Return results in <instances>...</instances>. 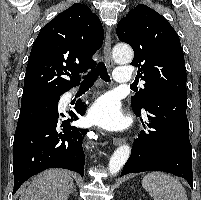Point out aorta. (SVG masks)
Masks as SVG:
<instances>
[{
	"label": "aorta",
	"mask_w": 201,
	"mask_h": 200,
	"mask_svg": "<svg viewBox=\"0 0 201 200\" xmlns=\"http://www.w3.org/2000/svg\"><path fill=\"white\" fill-rule=\"evenodd\" d=\"M113 58L118 63L127 64L133 59V50L126 44H117L113 49ZM131 153L129 145L124 144L118 147L109 161V172L112 175L117 174L124 166Z\"/></svg>",
	"instance_id": "1"
}]
</instances>
